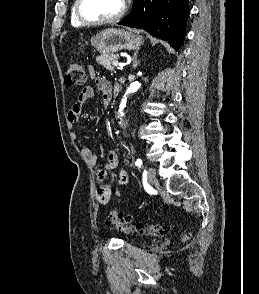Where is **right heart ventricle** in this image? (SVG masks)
Segmentation results:
<instances>
[{
	"label": "right heart ventricle",
	"instance_id": "obj_1",
	"mask_svg": "<svg viewBox=\"0 0 259 294\" xmlns=\"http://www.w3.org/2000/svg\"><path fill=\"white\" fill-rule=\"evenodd\" d=\"M75 4H76V1H74L72 9H71V19H70L71 25L73 27L80 28V27H83L84 25L79 22V20L77 19L75 15Z\"/></svg>",
	"mask_w": 259,
	"mask_h": 294
}]
</instances>
